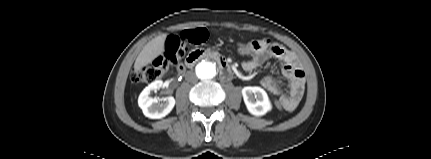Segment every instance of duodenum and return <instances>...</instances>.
<instances>
[{"instance_id": "duodenum-1", "label": "duodenum", "mask_w": 431, "mask_h": 159, "mask_svg": "<svg viewBox=\"0 0 431 159\" xmlns=\"http://www.w3.org/2000/svg\"><path fill=\"white\" fill-rule=\"evenodd\" d=\"M203 59H209L214 61L221 72V76L225 80H229L232 77V70L228 62L218 53L213 51H205V50H194L189 53L186 58L185 66L179 69L180 72H184L186 68H191L198 61Z\"/></svg>"}]
</instances>
